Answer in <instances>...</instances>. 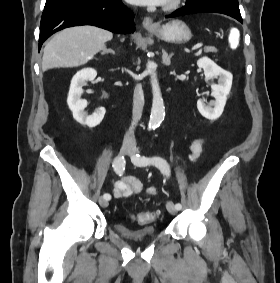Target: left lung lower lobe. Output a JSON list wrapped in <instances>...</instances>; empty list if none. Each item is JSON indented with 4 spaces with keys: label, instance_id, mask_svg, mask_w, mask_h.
<instances>
[{
    "label": "left lung lower lobe",
    "instance_id": "left-lung-lower-lobe-1",
    "mask_svg": "<svg viewBox=\"0 0 280 283\" xmlns=\"http://www.w3.org/2000/svg\"><path fill=\"white\" fill-rule=\"evenodd\" d=\"M200 12H214V13H221V14H226L228 16H231L235 19H237L239 22L242 23V17L236 16L232 13H230L227 10H224L219 7L215 6H210V5H203V4H194V5H185L181 9L176 10L170 15H166V18L170 17H177V16H182L186 14H192V13H200Z\"/></svg>",
    "mask_w": 280,
    "mask_h": 283
}]
</instances>
